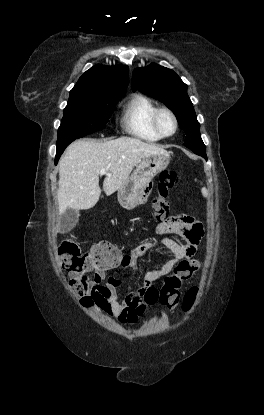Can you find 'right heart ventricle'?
<instances>
[{"mask_svg":"<svg viewBox=\"0 0 264 415\" xmlns=\"http://www.w3.org/2000/svg\"><path fill=\"white\" fill-rule=\"evenodd\" d=\"M156 104L146 96L134 95L124 105L122 124L131 136L146 142H157L161 137L151 125Z\"/></svg>","mask_w":264,"mask_h":415,"instance_id":"e07e8e85","label":"right heart ventricle"}]
</instances>
